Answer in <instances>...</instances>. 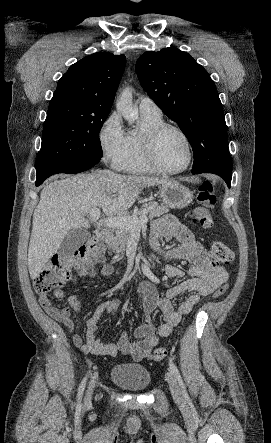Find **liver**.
Segmentation results:
<instances>
[{
    "label": "liver",
    "instance_id": "liver-1",
    "mask_svg": "<svg viewBox=\"0 0 271 443\" xmlns=\"http://www.w3.org/2000/svg\"><path fill=\"white\" fill-rule=\"evenodd\" d=\"M60 178V180H59ZM167 184L148 176H121L110 170L78 176H54L40 194L33 214L28 247V269L36 279L48 259L57 253L70 229L89 227L90 210L114 216L132 208L143 188Z\"/></svg>",
    "mask_w": 271,
    "mask_h": 443
}]
</instances>
